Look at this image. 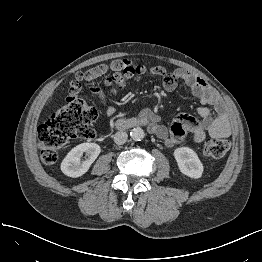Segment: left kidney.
<instances>
[{"label": "left kidney", "mask_w": 262, "mask_h": 262, "mask_svg": "<svg viewBox=\"0 0 262 262\" xmlns=\"http://www.w3.org/2000/svg\"><path fill=\"white\" fill-rule=\"evenodd\" d=\"M174 157L181 173L195 179L202 176L203 164L195 151L189 147H180L174 150Z\"/></svg>", "instance_id": "5707ae66"}]
</instances>
